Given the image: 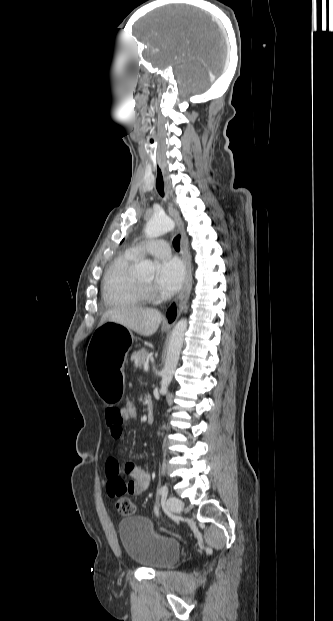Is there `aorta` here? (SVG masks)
Instances as JSON below:
<instances>
[{
	"label": "aorta",
	"instance_id": "obj_1",
	"mask_svg": "<svg viewBox=\"0 0 333 621\" xmlns=\"http://www.w3.org/2000/svg\"><path fill=\"white\" fill-rule=\"evenodd\" d=\"M174 228L173 220L167 215H155L146 224L145 236L148 238L159 237ZM155 266L149 260L142 261L136 269V273L141 277H153ZM187 330V320L180 319L174 326L169 340L166 360L161 374L162 393H166L176 370L180 351L183 345L185 332Z\"/></svg>",
	"mask_w": 333,
	"mask_h": 621
}]
</instances>
